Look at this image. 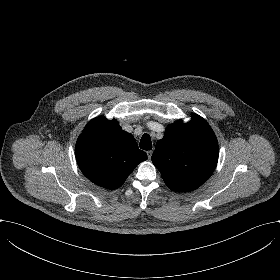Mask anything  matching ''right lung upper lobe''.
<instances>
[{"instance_id": "1", "label": "right lung upper lobe", "mask_w": 280, "mask_h": 280, "mask_svg": "<svg viewBox=\"0 0 280 280\" xmlns=\"http://www.w3.org/2000/svg\"><path fill=\"white\" fill-rule=\"evenodd\" d=\"M76 158L80 170L90 181L107 189H117L147 155L115 119L97 117L80 134Z\"/></svg>"}]
</instances>
